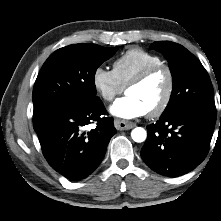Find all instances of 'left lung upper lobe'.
<instances>
[{"label":"left lung upper lobe","instance_id":"5c2ea615","mask_svg":"<svg viewBox=\"0 0 221 221\" xmlns=\"http://www.w3.org/2000/svg\"><path fill=\"white\" fill-rule=\"evenodd\" d=\"M151 49L164 54L173 77V91L162 116L190 109L216 119L212 83L201 62L186 48L170 41L154 42Z\"/></svg>","mask_w":221,"mask_h":221}]
</instances>
